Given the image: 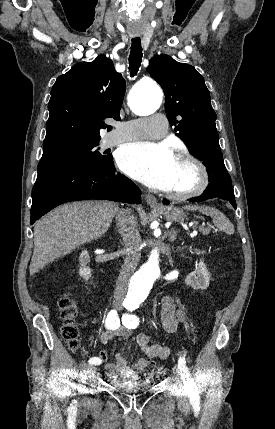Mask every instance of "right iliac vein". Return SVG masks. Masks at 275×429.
I'll return each instance as SVG.
<instances>
[{"label":"right iliac vein","instance_id":"obj_1","mask_svg":"<svg viewBox=\"0 0 275 429\" xmlns=\"http://www.w3.org/2000/svg\"><path fill=\"white\" fill-rule=\"evenodd\" d=\"M95 372H96V367L94 365H90L88 367V374L91 376V375H94Z\"/></svg>","mask_w":275,"mask_h":429}]
</instances>
